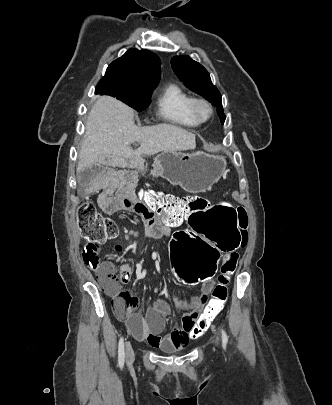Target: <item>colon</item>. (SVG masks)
I'll use <instances>...</instances> for the list:
<instances>
[{"label": "colon", "mask_w": 332, "mask_h": 405, "mask_svg": "<svg viewBox=\"0 0 332 405\" xmlns=\"http://www.w3.org/2000/svg\"><path fill=\"white\" fill-rule=\"evenodd\" d=\"M138 197L142 212L154 211L166 223L189 222V227L172 234L168 242L169 275H174L179 287H203L204 281H211V275H217V268H221L211 300L199 313L195 329L189 331L191 340L198 342L202 331L207 330L211 318L220 313L227 300L230 278L237 266L235 250L246 245V212L235 207V202H212L211 211H202L210 206L206 198L154 192L149 184L138 186ZM77 223L88 240L82 249V259L97 269L99 243L115 233V225L89 201L78 206ZM103 280L105 290L113 296L115 310L128 315L135 305L134 297L121 289V281L112 271L105 272Z\"/></svg>", "instance_id": "obj_1"}]
</instances>
